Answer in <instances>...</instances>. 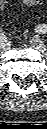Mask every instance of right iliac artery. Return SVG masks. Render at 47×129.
I'll return each instance as SVG.
<instances>
[{"label":"right iliac artery","mask_w":47,"mask_h":129,"mask_svg":"<svg viewBox=\"0 0 47 129\" xmlns=\"http://www.w3.org/2000/svg\"><path fill=\"white\" fill-rule=\"evenodd\" d=\"M6 39H7L6 35L4 33H0V41L4 42L6 41Z\"/></svg>","instance_id":"right-iliac-artery-1"}]
</instances>
